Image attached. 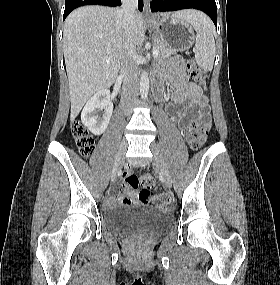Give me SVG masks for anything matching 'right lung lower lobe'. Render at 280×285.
I'll return each instance as SVG.
<instances>
[{
  "label": "right lung lower lobe",
  "mask_w": 280,
  "mask_h": 285,
  "mask_svg": "<svg viewBox=\"0 0 280 285\" xmlns=\"http://www.w3.org/2000/svg\"><path fill=\"white\" fill-rule=\"evenodd\" d=\"M84 5H105L115 7L121 5V0H65L63 19H65L72 10ZM138 9L140 11L143 10V0H138Z\"/></svg>",
  "instance_id": "obj_1"
}]
</instances>
